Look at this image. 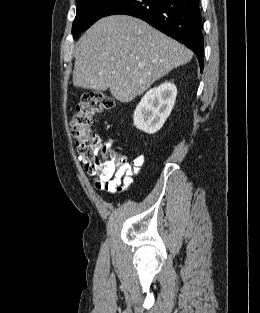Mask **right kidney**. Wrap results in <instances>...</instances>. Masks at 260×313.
Instances as JSON below:
<instances>
[{"mask_svg":"<svg viewBox=\"0 0 260 313\" xmlns=\"http://www.w3.org/2000/svg\"><path fill=\"white\" fill-rule=\"evenodd\" d=\"M176 95L177 88L170 82L150 89L134 111L133 121L136 128L148 134L160 130L173 109Z\"/></svg>","mask_w":260,"mask_h":313,"instance_id":"ca27d5eb","label":"right kidney"}]
</instances>
